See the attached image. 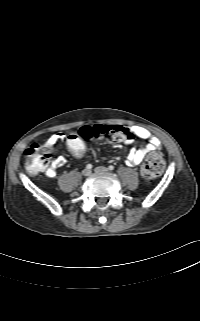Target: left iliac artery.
Segmentation results:
<instances>
[{
    "instance_id": "left-iliac-artery-1",
    "label": "left iliac artery",
    "mask_w": 200,
    "mask_h": 321,
    "mask_svg": "<svg viewBox=\"0 0 200 321\" xmlns=\"http://www.w3.org/2000/svg\"><path fill=\"white\" fill-rule=\"evenodd\" d=\"M113 169H114V166L110 165L109 170H113Z\"/></svg>"
}]
</instances>
